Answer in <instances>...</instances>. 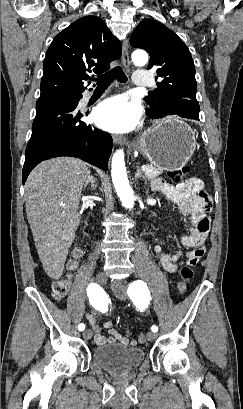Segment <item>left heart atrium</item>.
Here are the masks:
<instances>
[{
  "instance_id": "39dd6f15",
  "label": "left heart atrium",
  "mask_w": 243,
  "mask_h": 409,
  "mask_svg": "<svg viewBox=\"0 0 243 409\" xmlns=\"http://www.w3.org/2000/svg\"><path fill=\"white\" fill-rule=\"evenodd\" d=\"M140 107L124 95H117L101 102L95 110L94 120L101 128L122 133L132 130L138 123Z\"/></svg>"
}]
</instances>
